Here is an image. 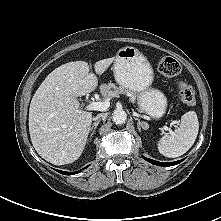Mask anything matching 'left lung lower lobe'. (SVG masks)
<instances>
[{
	"instance_id": "0a47b994",
	"label": "left lung lower lobe",
	"mask_w": 221,
	"mask_h": 221,
	"mask_svg": "<svg viewBox=\"0 0 221 221\" xmlns=\"http://www.w3.org/2000/svg\"><path fill=\"white\" fill-rule=\"evenodd\" d=\"M144 160L148 161L149 163H152L154 165H157V166H173V165H176V164H179L180 162L183 161L182 160H179V161H175V162H169V163H162V162H157L155 160H152V159H149V158H146V157H143Z\"/></svg>"
}]
</instances>
